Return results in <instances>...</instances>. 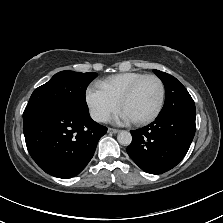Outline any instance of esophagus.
<instances>
[{"label": "esophagus", "mask_w": 223, "mask_h": 223, "mask_svg": "<svg viewBox=\"0 0 223 223\" xmlns=\"http://www.w3.org/2000/svg\"><path fill=\"white\" fill-rule=\"evenodd\" d=\"M120 130L118 129H113V128H108V133H118Z\"/></svg>", "instance_id": "1"}]
</instances>
